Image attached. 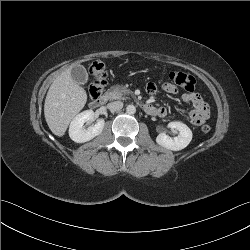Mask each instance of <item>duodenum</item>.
I'll return each mask as SVG.
<instances>
[{"label": "duodenum", "mask_w": 250, "mask_h": 250, "mask_svg": "<svg viewBox=\"0 0 250 250\" xmlns=\"http://www.w3.org/2000/svg\"><path fill=\"white\" fill-rule=\"evenodd\" d=\"M108 100L107 95H102L96 98H93L90 102V105L92 108L97 109L102 107ZM143 110L150 115H156L157 114V109L156 107L150 105V104H142Z\"/></svg>", "instance_id": "1"}]
</instances>
